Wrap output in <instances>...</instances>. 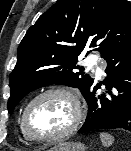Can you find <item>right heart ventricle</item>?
<instances>
[{
	"mask_svg": "<svg viewBox=\"0 0 131 151\" xmlns=\"http://www.w3.org/2000/svg\"><path fill=\"white\" fill-rule=\"evenodd\" d=\"M20 131H21V134H22L23 138H24L25 140H28V139L25 137V135L23 134V132H22L21 123H20Z\"/></svg>",
	"mask_w": 131,
	"mask_h": 151,
	"instance_id": "right-heart-ventricle-1",
	"label": "right heart ventricle"
}]
</instances>
